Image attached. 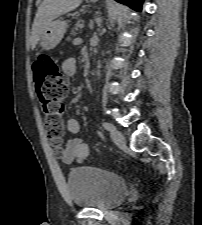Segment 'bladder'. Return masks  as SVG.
I'll return each instance as SVG.
<instances>
[{
  "instance_id": "obj_1",
  "label": "bladder",
  "mask_w": 202,
  "mask_h": 225,
  "mask_svg": "<svg viewBox=\"0 0 202 225\" xmlns=\"http://www.w3.org/2000/svg\"><path fill=\"white\" fill-rule=\"evenodd\" d=\"M67 191L76 207L108 211L121 204L128 183L120 175L92 166H80L67 174Z\"/></svg>"
}]
</instances>
